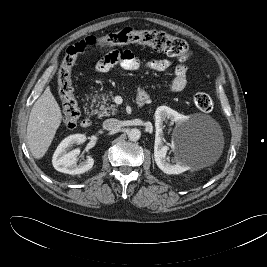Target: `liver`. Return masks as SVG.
<instances>
[{"instance_id":"6515ba94","label":"liver","mask_w":267,"mask_h":267,"mask_svg":"<svg viewBox=\"0 0 267 267\" xmlns=\"http://www.w3.org/2000/svg\"><path fill=\"white\" fill-rule=\"evenodd\" d=\"M61 120L60 107L50 87H47L34 103L27 125V142L35 159H41L45 155Z\"/></svg>"}]
</instances>
